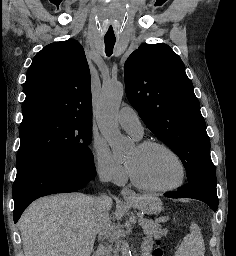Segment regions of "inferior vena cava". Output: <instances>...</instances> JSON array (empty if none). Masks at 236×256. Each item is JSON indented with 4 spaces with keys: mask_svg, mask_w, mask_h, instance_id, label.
Returning <instances> with one entry per match:
<instances>
[{
    "mask_svg": "<svg viewBox=\"0 0 236 256\" xmlns=\"http://www.w3.org/2000/svg\"><path fill=\"white\" fill-rule=\"evenodd\" d=\"M97 172L100 182H110V180H112V172L109 168H106V166H99V168H97ZM109 202L110 198H108V196H101V198L94 200L93 206L94 208H99V212H105L108 208ZM97 234H99V238H102V240H109L110 232L107 224H103L101 228H98ZM104 248L105 246H101V256H107V252H105Z\"/></svg>",
    "mask_w": 236,
    "mask_h": 256,
    "instance_id": "obj_1",
    "label": "inferior vena cava"
}]
</instances>
